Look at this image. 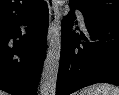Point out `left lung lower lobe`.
<instances>
[{
	"mask_svg": "<svg viewBox=\"0 0 119 95\" xmlns=\"http://www.w3.org/2000/svg\"><path fill=\"white\" fill-rule=\"evenodd\" d=\"M70 7L79 9L71 4ZM73 10L62 21L56 95H69L95 83L119 85V21L98 18L79 9L86 25L85 34H79L72 29L76 18Z\"/></svg>",
	"mask_w": 119,
	"mask_h": 95,
	"instance_id": "0a47b994",
	"label": "left lung lower lobe"
}]
</instances>
